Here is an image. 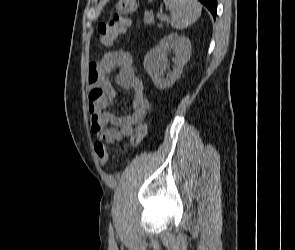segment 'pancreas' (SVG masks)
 Wrapping results in <instances>:
<instances>
[{
  "label": "pancreas",
  "instance_id": "pancreas-1",
  "mask_svg": "<svg viewBox=\"0 0 295 250\" xmlns=\"http://www.w3.org/2000/svg\"><path fill=\"white\" fill-rule=\"evenodd\" d=\"M144 23L145 24L153 23V16H152L151 13H149V12L145 13V15H144Z\"/></svg>",
  "mask_w": 295,
  "mask_h": 250
}]
</instances>
